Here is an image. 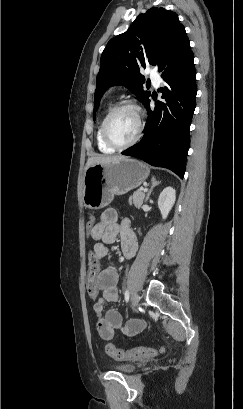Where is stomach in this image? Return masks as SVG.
Returning a JSON list of instances; mask_svg holds the SVG:
<instances>
[{
    "instance_id": "0dacf381",
    "label": "stomach",
    "mask_w": 243,
    "mask_h": 409,
    "mask_svg": "<svg viewBox=\"0 0 243 409\" xmlns=\"http://www.w3.org/2000/svg\"><path fill=\"white\" fill-rule=\"evenodd\" d=\"M149 167L136 159L123 158L105 164H94L83 177V203L90 209L108 206L115 195L139 187L149 176Z\"/></svg>"
}]
</instances>
